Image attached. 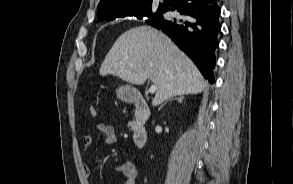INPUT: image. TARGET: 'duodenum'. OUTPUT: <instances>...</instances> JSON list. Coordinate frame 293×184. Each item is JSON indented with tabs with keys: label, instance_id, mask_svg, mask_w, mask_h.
I'll return each instance as SVG.
<instances>
[{
	"label": "duodenum",
	"instance_id": "410a0bca",
	"mask_svg": "<svg viewBox=\"0 0 293 184\" xmlns=\"http://www.w3.org/2000/svg\"><path fill=\"white\" fill-rule=\"evenodd\" d=\"M132 102L135 106V123L133 127V142L136 147L141 148L147 142V130L145 123L150 116V109L147 101L141 94H133Z\"/></svg>",
	"mask_w": 293,
	"mask_h": 184
}]
</instances>
